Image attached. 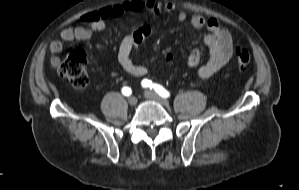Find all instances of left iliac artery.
Returning <instances> with one entry per match:
<instances>
[{
	"mask_svg": "<svg viewBox=\"0 0 299 190\" xmlns=\"http://www.w3.org/2000/svg\"><path fill=\"white\" fill-rule=\"evenodd\" d=\"M143 87H149L150 89H154L161 97L167 98L170 96V93L165 90L161 85L154 84L152 81L148 79H143L141 82Z\"/></svg>",
	"mask_w": 299,
	"mask_h": 190,
	"instance_id": "1",
	"label": "left iliac artery"
}]
</instances>
